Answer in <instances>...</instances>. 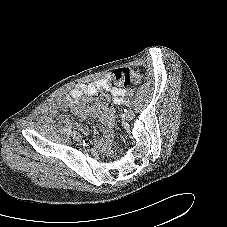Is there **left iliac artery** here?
Masks as SVG:
<instances>
[{"instance_id": "obj_1", "label": "left iliac artery", "mask_w": 227, "mask_h": 227, "mask_svg": "<svg viewBox=\"0 0 227 227\" xmlns=\"http://www.w3.org/2000/svg\"><path fill=\"white\" fill-rule=\"evenodd\" d=\"M124 104H125V106H127V107H130V105H131V103H130L129 100H125V101H124Z\"/></svg>"}]
</instances>
